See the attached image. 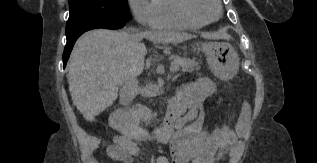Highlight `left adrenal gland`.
Here are the masks:
<instances>
[{"mask_svg":"<svg viewBox=\"0 0 317 163\" xmlns=\"http://www.w3.org/2000/svg\"><path fill=\"white\" fill-rule=\"evenodd\" d=\"M178 78V75H176L174 78H173V80H176Z\"/></svg>","mask_w":317,"mask_h":163,"instance_id":"left-adrenal-gland-1","label":"left adrenal gland"}]
</instances>
